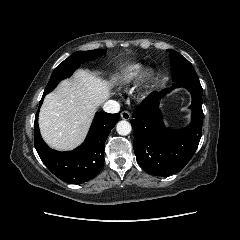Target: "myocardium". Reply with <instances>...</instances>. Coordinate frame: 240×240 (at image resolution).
Wrapping results in <instances>:
<instances>
[{
    "mask_svg": "<svg viewBox=\"0 0 240 240\" xmlns=\"http://www.w3.org/2000/svg\"><path fill=\"white\" fill-rule=\"evenodd\" d=\"M153 79H154V71L152 69H147L141 78V85H140L141 90L146 89Z\"/></svg>",
    "mask_w": 240,
    "mask_h": 240,
    "instance_id": "f54148a6",
    "label": "myocardium"
}]
</instances>
